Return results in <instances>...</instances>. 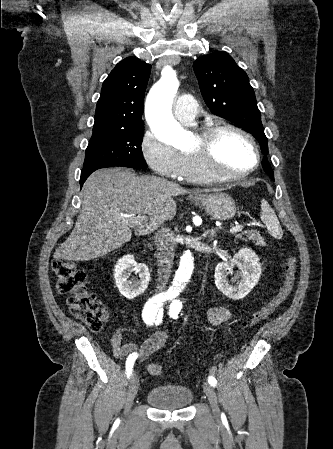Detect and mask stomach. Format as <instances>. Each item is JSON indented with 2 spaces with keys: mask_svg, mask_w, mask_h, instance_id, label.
<instances>
[{
  "mask_svg": "<svg viewBox=\"0 0 333 449\" xmlns=\"http://www.w3.org/2000/svg\"><path fill=\"white\" fill-rule=\"evenodd\" d=\"M195 204L217 220H229L235 216L237 211L233 198L220 192L202 194L195 198Z\"/></svg>",
  "mask_w": 333,
  "mask_h": 449,
  "instance_id": "stomach-1",
  "label": "stomach"
}]
</instances>
